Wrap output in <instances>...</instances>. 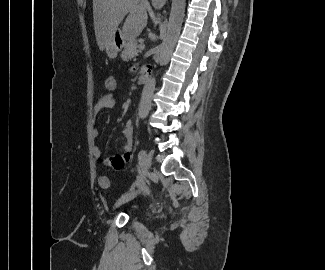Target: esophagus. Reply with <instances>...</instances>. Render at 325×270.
Returning a JSON list of instances; mask_svg holds the SVG:
<instances>
[{"label": "esophagus", "mask_w": 325, "mask_h": 270, "mask_svg": "<svg viewBox=\"0 0 325 270\" xmlns=\"http://www.w3.org/2000/svg\"><path fill=\"white\" fill-rule=\"evenodd\" d=\"M167 0H152V4L155 8L161 9Z\"/></svg>", "instance_id": "obj_1"}]
</instances>
